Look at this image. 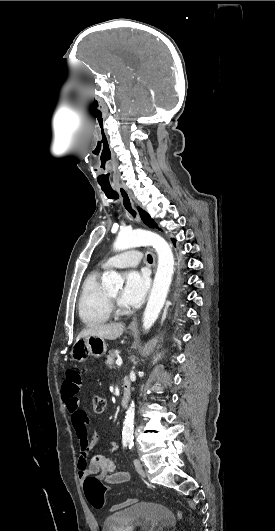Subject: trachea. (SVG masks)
<instances>
[{"label":"trachea","mask_w":275,"mask_h":531,"mask_svg":"<svg viewBox=\"0 0 275 531\" xmlns=\"http://www.w3.org/2000/svg\"><path fill=\"white\" fill-rule=\"evenodd\" d=\"M102 190L106 194V196L110 199H117L118 193L114 191L111 187H102ZM148 261H152V256L150 254L147 255Z\"/></svg>","instance_id":"1"}]
</instances>
